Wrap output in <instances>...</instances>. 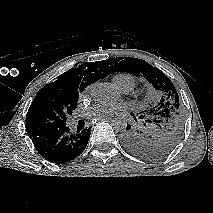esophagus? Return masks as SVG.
Segmentation results:
<instances>
[{
    "instance_id": "obj_1",
    "label": "esophagus",
    "mask_w": 213,
    "mask_h": 213,
    "mask_svg": "<svg viewBox=\"0 0 213 213\" xmlns=\"http://www.w3.org/2000/svg\"><path fill=\"white\" fill-rule=\"evenodd\" d=\"M98 121H103V120H113L112 117H106V118H100V119H97Z\"/></svg>"
}]
</instances>
